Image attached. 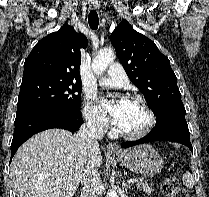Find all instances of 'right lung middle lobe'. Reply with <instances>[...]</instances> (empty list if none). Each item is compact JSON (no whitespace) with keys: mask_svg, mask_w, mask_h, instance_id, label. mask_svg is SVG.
I'll use <instances>...</instances> for the list:
<instances>
[{"mask_svg":"<svg viewBox=\"0 0 209 197\" xmlns=\"http://www.w3.org/2000/svg\"><path fill=\"white\" fill-rule=\"evenodd\" d=\"M80 82L35 80L21 84L16 117L43 109L80 110Z\"/></svg>","mask_w":209,"mask_h":197,"instance_id":"right-lung-middle-lobe-1","label":"right lung middle lobe"}]
</instances>
